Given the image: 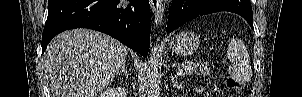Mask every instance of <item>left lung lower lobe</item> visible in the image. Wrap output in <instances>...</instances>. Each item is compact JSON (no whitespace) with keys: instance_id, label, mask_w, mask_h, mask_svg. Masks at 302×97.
<instances>
[{"instance_id":"0a47b994","label":"left lung lower lobe","mask_w":302,"mask_h":97,"mask_svg":"<svg viewBox=\"0 0 302 97\" xmlns=\"http://www.w3.org/2000/svg\"><path fill=\"white\" fill-rule=\"evenodd\" d=\"M219 11L241 15L254 29L250 0H172L166 31L170 33L196 17Z\"/></svg>"}]
</instances>
